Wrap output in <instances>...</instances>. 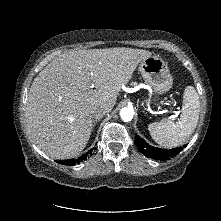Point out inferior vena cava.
<instances>
[{
  "mask_svg": "<svg viewBox=\"0 0 221 221\" xmlns=\"http://www.w3.org/2000/svg\"><path fill=\"white\" fill-rule=\"evenodd\" d=\"M92 117L96 119L102 118L108 111V108L104 105H94L89 110Z\"/></svg>",
  "mask_w": 221,
  "mask_h": 221,
  "instance_id": "1",
  "label": "inferior vena cava"
}]
</instances>
